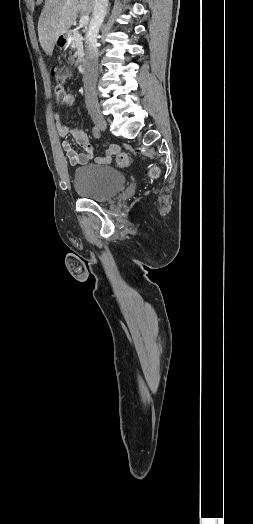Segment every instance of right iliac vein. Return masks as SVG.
<instances>
[{"instance_id": "1", "label": "right iliac vein", "mask_w": 253, "mask_h": 524, "mask_svg": "<svg viewBox=\"0 0 253 524\" xmlns=\"http://www.w3.org/2000/svg\"><path fill=\"white\" fill-rule=\"evenodd\" d=\"M90 112V115H91V118L94 122V124L100 129V130H105L106 127H107V122L104 118V116L102 115V113L100 112L99 109H96V108H92L89 110Z\"/></svg>"}]
</instances>
